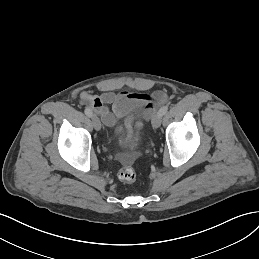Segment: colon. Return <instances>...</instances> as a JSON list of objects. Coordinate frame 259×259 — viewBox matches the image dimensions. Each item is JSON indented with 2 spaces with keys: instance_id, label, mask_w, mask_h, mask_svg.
<instances>
[{
  "instance_id": "5ec220e1",
  "label": "colon",
  "mask_w": 259,
  "mask_h": 259,
  "mask_svg": "<svg viewBox=\"0 0 259 259\" xmlns=\"http://www.w3.org/2000/svg\"><path fill=\"white\" fill-rule=\"evenodd\" d=\"M118 178L124 183H133L137 178V174L132 167L126 166L119 171Z\"/></svg>"
}]
</instances>
